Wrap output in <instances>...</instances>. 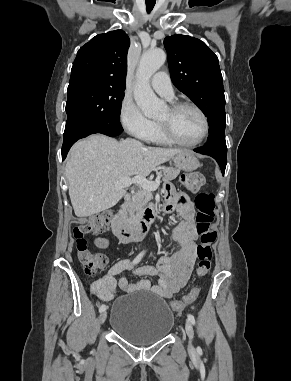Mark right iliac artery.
Masks as SVG:
<instances>
[{"label": "right iliac artery", "instance_id": "obj_1", "mask_svg": "<svg viewBox=\"0 0 291 381\" xmlns=\"http://www.w3.org/2000/svg\"><path fill=\"white\" fill-rule=\"evenodd\" d=\"M144 255V252H141L140 254H138V256L134 259L133 261V264H137L140 262V260L142 259ZM106 310V305L102 304L100 307H99V312H103Z\"/></svg>", "mask_w": 291, "mask_h": 381}]
</instances>
